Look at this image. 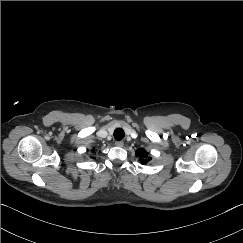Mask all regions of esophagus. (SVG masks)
Masks as SVG:
<instances>
[{
	"label": "esophagus",
	"instance_id": "obj_1",
	"mask_svg": "<svg viewBox=\"0 0 243 243\" xmlns=\"http://www.w3.org/2000/svg\"><path fill=\"white\" fill-rule=\"evenodd\" d=\"M115 145H116L117 147H123L124 143H123V141H116V142H115Z\"/></svg>",
	"mask_w": 243,
	"mask_h": 243
}]
</instances>
